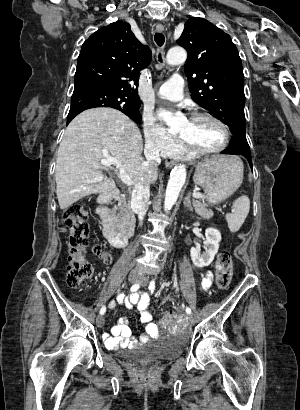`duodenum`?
I'll return each mask as SVG.
<instances>
[{"label":"duodenum","mask_w":300,"mask_h":410,"mask_svg":"<svg viewBox=\"0 0 300 410\" xmlns=\"http://www.w3.org/2000/svg\"><path fill=\"white\" fill-rule=\"evenodd\" d=\"M121 194L118 191L105 196L98 202L97 212L103 220L102 232L108 243L115 248H122L128 244L129 238L117 228L116 210L111 200H118Z\"/></svg>","instance_id":"obj_1"}]
</instances>
